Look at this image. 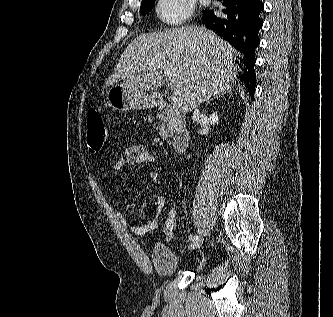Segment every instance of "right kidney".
Listing matches in <instances>:
<instances>
[{"label": "right kidney", "mask_w": 333, "mask_h": 317, "mask_svg": "<svg viewBox=\"0 0 333 317\" xmlns=\"http://www.w3.org/2000/svg\"><path fill=\"white\" fill-rule=\"evenodd\" d=\"M218 120L217 112L212 113L209 117V121L212 125L218 124Z\"/></svg>", "instance_id": "ca27d5eb"}]
</instances>
